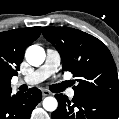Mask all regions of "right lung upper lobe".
I'll return each instance as SVG.
<instances>
[{
    "label": "right lung upper lobe",
    "mask_w": 119,
    "mask_h": 119,
    "mask_svg": "<svg viewBox=\"0 0 119 119\" xmlns=\"http://www.w3.org/2000/svg\"><path fill=\"white\" fill-rule=\"evenodd\" d=\"M41 33L40 27L22 28L0 33V92L11 89V79L17 75L25 49Z\"/></svg>",
    "instance_id": "right-lung-upper-lobe-1"
}]
</instances>
